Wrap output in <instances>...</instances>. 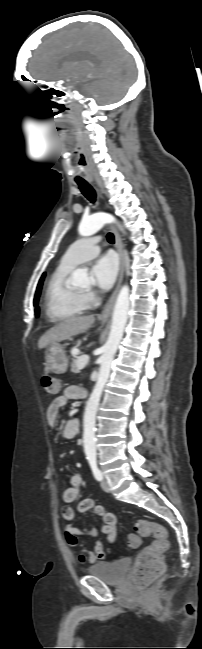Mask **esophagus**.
Instances as JSON below:
<instances>
[{"mask_svg": "<svg viewBox=\"0 0 202 649\" xmlns=\"http://www.w3.org/2000/svg\"><path fill=\"white\" fill-rule=\"evenodd\" d=\"M97 190L99 191V189H97ZM99 193H100V191H99ZM111 230H112V232L114 234V237H115V244H116L117 252H118L119 258H120V273H119V279H118L116 289L114 290L113 294L111 295L110 299L108 300L107 304L105 305V307H104V309L102 311L101 317L103 319H107L111 315V312H112V309H113V306H114V303H115L119 288L121 286V282H122V279H123V273H124V257H123V250H122V241H121V238H120V236H119V234L116 231L114 226H111Z\"/></svg>", "mask_w": 202, "mask_h": 649, "instance_id": "obj_1", "label": "esophagus"}]
</instances>
